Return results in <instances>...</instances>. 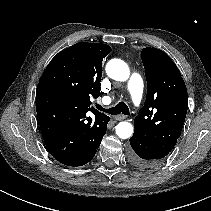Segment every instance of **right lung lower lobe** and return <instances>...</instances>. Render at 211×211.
Masks as SVG:
<instances>
[{"label":"right lung lower lobe","mask_w":211,"mask_h":211,"mask_svg":"<svg viewBox=\"0 0 211 211\" xmlns=\"http://www.w3.org/2000/svg\"><path fill=\"white\" fill-rule=\"evenodd\" d=\"M36 111L49 153L67 166L85 165L95 156L110 120L76 96L43 84L37 86Z\"/></svg>","instance_id":"obj_1"}]
</instances>
